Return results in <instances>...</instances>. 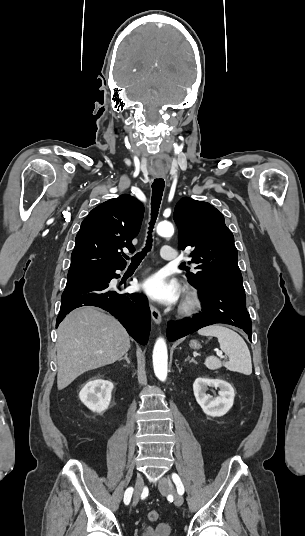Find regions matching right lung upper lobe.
<instances>
[{"instance_id": "cb5924a9", "label": "right lung upper lobe", "mask_w": 305, "mask_h": 536, "mask_svg": "<svg viewBox=\"0 0 305 536\" xmlns=\"http://www.w3.org/2000/svg\"><path fill=\"white\" fill-rule=\"evenodd\" d=\"M144 207L128 194L110 199L90 211L75 239L68 279L124 269L122 247L134 251Z\"/></svg>"}]
</instances>
